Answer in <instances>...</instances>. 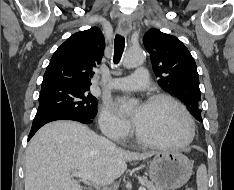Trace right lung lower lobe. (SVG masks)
<instances>
[{"label": "right lung lower lobe", "mask_w": 234, "mask_h": 190, "mask_svg": "<svg viewBox=\"0 0 234 190\" xmlns=\"http://www.w3.org/2000/svg\"><path fill=\"white\" fill-rule=\"evenodd\" d=\"M55 120H73V121H78L84 124H90L92 123V119H86L82 118L76 115H71V114H57V115H52L48 117L45 120H42L38 122L37 124L33 125L28 137V140L32 138V136L36 133V131L41 128L44 124L55 121Z\"/></svg>", "instance_id": "98d812e1"}]
</instances>
